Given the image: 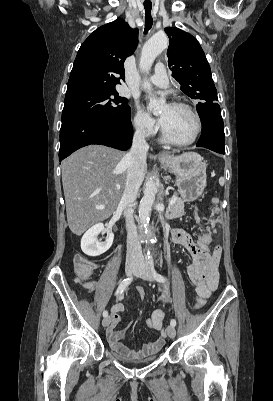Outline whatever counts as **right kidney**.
I'll use <instances>...</instances> for the list:
<instances>
[{
	"label": "right kidney",
	"instance_id": "ca27d5eb",
	"mask_svg": "<svg viewBox=\"0 0 273 401\" xmlns=\"http://www.w3.org/2000/svg\"><path fill=\"white\" fill-rule=\"evenodd\" d=\"M100 233H107L108 235L104 243H99L98 241V235H100ZM113 239V233L106 231L103 223H98V225H94V227L88 229L85 235H83L81 239V249L88 257H99V255L106 253V251L110 249Z\"/></svg>",
	"mask_w": 273,
	"mask_h": 401
}]
</instances>
